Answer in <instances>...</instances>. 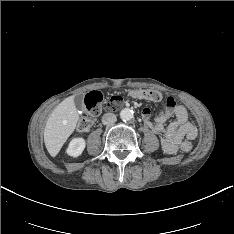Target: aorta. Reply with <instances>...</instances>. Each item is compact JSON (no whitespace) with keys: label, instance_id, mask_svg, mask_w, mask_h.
I'll return each mask as SVG.
<instances>
[{"label":"aorta","instance_id":"obj_1","mask_svg":"<svg viewBox=\"0 0 234 234\" xmlns=\"http://www.w3.org/2000/svg\"><path fill=\"white\" fill-rule=\"evenodd\" d=\"M120 117L124 121H129L133 118V111L129 108L122 109L120 112Z\"/></svg>","mask_w":234,"mask_h":234}]
</instances>
